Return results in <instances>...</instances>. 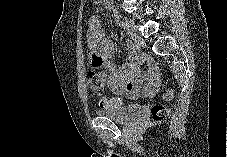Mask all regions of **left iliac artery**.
<instances>
[{
	"label": "left iliac artery",
	"mask_w": 227,
	"mask_h": 157,
	"mask_svg": "<svg viewBox=\"0 0 227 157\" xmlns=\"http://www.w3.org/2000/svg\"><path fill=\"white\" fill-rule=\"evenodd\" d=\"M119 26L123 27V28H127V24L123 21H118Z\"/></svg>",
	"instance_id": "1"
}]
</instances>
